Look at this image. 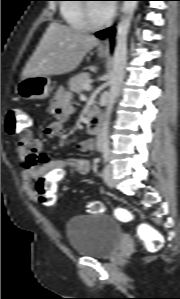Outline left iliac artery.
Instances as JSON below:
<instances>
[{"label": "left iliac artery", "mask_w": 180, "mask_h": 299, "mask_svg": "<svg viewBox=\"0 0 180 299\" xmlns=\"http://www.w3.org/2000/svg\"><path fill=\"white\" fill-rule=\"evenodd\" d=\"M104 162H108L110 159V150L104 149L103 150Z\"/></svg>", "instance_id": "left-iliac-artery-1"}]
</instances>
